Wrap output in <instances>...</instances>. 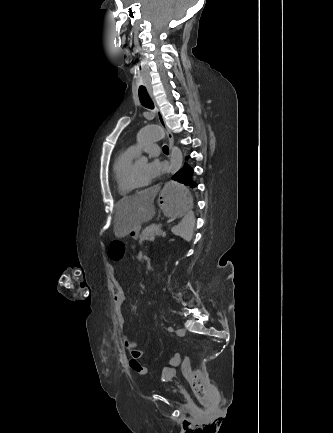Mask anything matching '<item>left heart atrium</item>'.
I'll use <instances>...</instances> for the list:
<instances>
[{"mask_svg":"<svg viewBox=\"0 0 333 433\" xmlns=\"http://www.w3.org/2000/svg\"><path fill=\"white\" fill-rule=\"evenodd\" d=\"M164 170V165L157 159L151 161L147 165L146 174L147 181H151L158 177Z\"/></svg>","mask_w":333,"mask_h":433,"instance_id":"left-heart-atrium-1","label":"left heart atrium"}]
</instances>
